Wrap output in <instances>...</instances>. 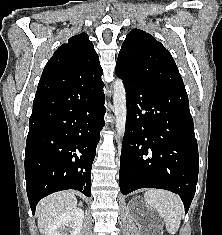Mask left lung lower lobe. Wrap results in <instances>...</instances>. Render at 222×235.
Here are the masks:
<instances>
[{"label":"left lung lower lobe","mask_w":222,"mask_h":235,"mask_svg":"<svg viewBox=\"0 0 222 235\" xmlns=\"http://www.w3.org/2000/svg\"><path fill=\"white\" fill-rule=\"evenodd\" d=\"M115 70L123 80L127 103L119 171L121 193L140 188L169 190L181 197L187 212L199 172L188 101Z\"/></svg>","instance_id":"left-lung-lower-lobe-1"}]
</instances>
